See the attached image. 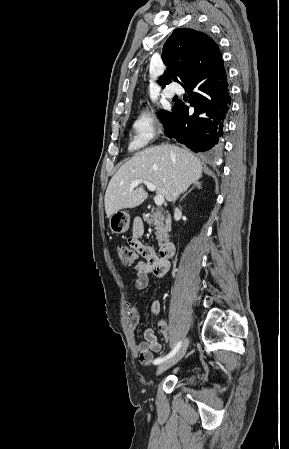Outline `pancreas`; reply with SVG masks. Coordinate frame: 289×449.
Listing matches in <instances>:
<instances>
[{
    "instance_id": "1",
    "label": "pancreas",
    "mask_w": 289,
    "mask_h": 449,
    "mask_svg": "<svg viewBox=\"0 0 289 449\" xmlns=\"http://www.w3.org/2000/svg\"><path fill=\"white\" fill-rule=\"evenodd\" d=\"M143 219L149 225L154 226L156 238L159 244L168 239V233L171 229V223L170 219L164 216L161 211H153L151 212V214H144Z\"/></svg>"
}]
</instances>
